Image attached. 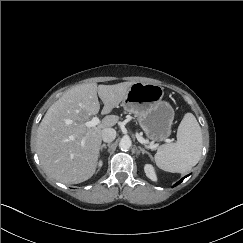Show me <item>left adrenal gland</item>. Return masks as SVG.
<instances>
[{"instance_id": "1", "label": "left adrenal gland", "mask_w": 243, "mask_h": 243, "mask_svg": "<svg viewBox=\"0 0 243 243\" xmlns=\"http://www.w3.org/2000/svg\"><path fill=\"white\" fill-rule=\"evenodd\" d=\"M138 148H139V151L142 152L143 155L147 154L149 157L152 158V155L148 151H146L144 148H142L141 146H139Z\"/></svg>"}]
</instances>
